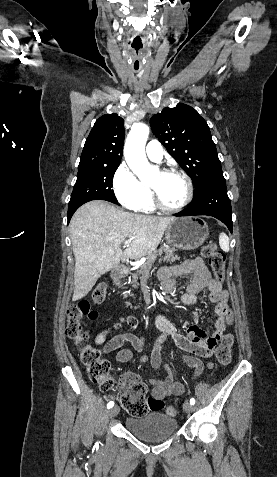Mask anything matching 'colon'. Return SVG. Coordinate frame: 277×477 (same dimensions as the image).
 <instances>
[{
	"instance_id": "5ec220e1",
	"label": "colon",
	"mask_w": 277,
	"mask_h": 477,
	"mask_svg": "<svg viewBox=\"0 0 277 477\" xmlns=\"http://www.w3.org/2000/svg\"><path fill=\"white\" fill-rule=\"evenodd\" d=\"M201 255L208 260L215 277L219 281L224 280L225 255L217 249L215 244L209 243L202 247ZM107 288L105 284L95 287L91 295L72 306L67 313L68 325L66 334L72 339L80 353L82 364L86 367L89 378L104 391H109L114 386V381L110 376V364L102 358L99 350L86 344V333L81 327L84 319L95 320L97 318L96 307L101 305L106 298ZM235 314L228 309L225 312L224 320L227 326L234 324ZM233 336L224 334L220 344L216 348L215 356L220 364L226 365L231 360V349L233 346ZM147 386L143 382L122 383L119 402L129 414L135 417L143 416L150 411H160L164 403L154 397L146 398ZM166 413L175 416L178 411L175 407H168Z\"/></svg>"
}]
</instances>
